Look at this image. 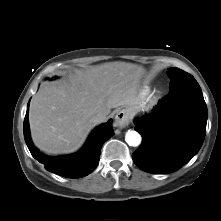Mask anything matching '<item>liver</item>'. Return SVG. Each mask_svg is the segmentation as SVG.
<instances>
[{"label":"liver","mask_w":221,"mask_h":221,"mask_svg":"<svg viewBox=\"0 0 221 221\" xmlns=\"http://www.w3.org/2000/svg\"><path fill=\"white\" fill-rule=\"evenodd\" d=\"M142 67L125 62L106 63L78 72L69 82L44 85L32 98L29 112L34 144L47 154L77 150L93 128L91 118L111 109L137 108Z\"/></svg>","instance_id":"liver-1"}]
</instances>
